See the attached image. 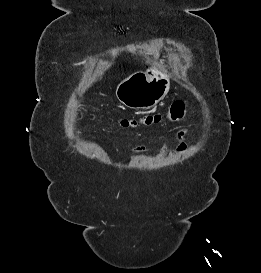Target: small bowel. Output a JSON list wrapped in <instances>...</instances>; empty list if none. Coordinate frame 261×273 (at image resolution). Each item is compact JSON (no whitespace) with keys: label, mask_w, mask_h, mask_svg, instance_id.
I'll return each instance as SVG.
<instances>
[{"label":"small bowel","mask_w":261,"mask_h":273,"mask_svg":"<svg viewBox=\"0 0 261 273\" xmlns=\"http://www.w3.org/2000/svg\"><path fill=\"white\" fill-rule=\"evenodd\" d=\"M185 135H186V132L185 131H180L178 133V140H179V144L176 148V152L177 153H182L184 151H186L188 149V145L187 143L184 141V138H185ZM147 147L145 145H140V146H137L135 147L133 150H132V153H147ZM169 151V143H166L162 149V154H167Z\"/></svg>","instance_id":"small-bowel-1"}]
</instances>
